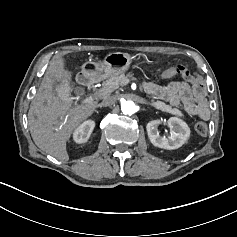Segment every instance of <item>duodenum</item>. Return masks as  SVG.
I'll use <instances>...</instances> for the list:
<instances>
[{"instance_id": "obj_1", "label": "duodenum", "mask_w": 237, "mask_h": 237, "mask_svg": "<svg viewBox=\"0 0 237 237\" xmlns=\"http://www.w3.org/2000/svg\"><path fill=\"white\" fill-rule=\"evenodd\" d=\"M101 72L96 66H87L79 75V82L84 86H92L100 79Z\"/></svg>"}]
</instances>
